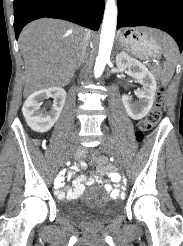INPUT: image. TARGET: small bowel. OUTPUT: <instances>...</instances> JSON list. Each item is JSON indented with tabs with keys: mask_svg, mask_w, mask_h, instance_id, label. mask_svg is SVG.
<instances>
[{
	"mask_svg": "<svg viewBox=\"0 0 183 246\" xmlns=\"http://www.w3.org/2000/svg\"><path fill=\"white\" fill-rule=\"evenodd\" d=\"M85 166L84 162H80L77 165L73 166L67 173V178L72 179L75 176V173L82 170ZM102 173H105L106 176L113 182L108 180H103L100 176L94 175L89 180L86 179L84 175H80L75 178L72 188L63 189L65 185V180H52V189H56L55 193L59 199H75L79 197L85 188V184L91 186L95 184L103 185L106 191H108L110 198H127V193H121L124 191L125 187L129 186L128 178H119L118 174L111 169L102 167L100 170ZM61 174H65L66 170L61 169ZM119 181V182H118Z\"/></svg>",
	"mask_w": 183,
	"mask_h": 246,
	"instance_id": "small-bowel-1",
	"label": "small bowel"
}]
</instances>
